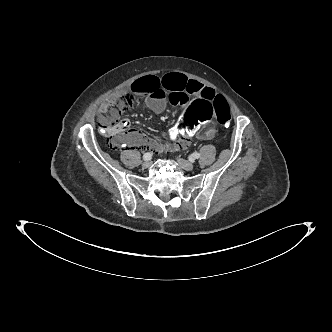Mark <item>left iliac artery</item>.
<instances>
[{
    "instance_id": "44dca946",
    "label": "left iliac artery",
    "mask_w": 332,
    "mask_h": 332,
    "mask_svg": "<svg viewBox=\"0 0 332 332\" xmlns=\"http://www.w3.org/2000/svg\"><path fill=\"white\" fill-rule=\"evenodd\" d=\"M200 157V154L195 152L189 156V160L193 162L195 159H198Z\"/></svg>"
}]
</instances>
